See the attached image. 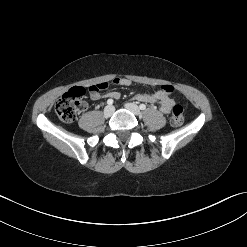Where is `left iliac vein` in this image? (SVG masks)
I'll return each instance as SVG.
<instances>
[{
	"mask_svg": "<svg viewBox=\"0 0 247 247\" xmlns=\"http://www.w3.org/2000/svg\"><path fill=\"white\" fill-rule=\"evenodd\" d=\"M125 108L128 109L129 111H131L135 115H139L140 114L139 107L134 103H126L125 104Z\"/></svg>",
	"mask_w": 247,
	"mask_h": 247,
	"instance_id": "4c4485c4",
	"label": "left iliac vein"
}]
</instances>
